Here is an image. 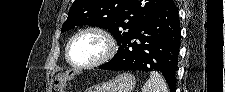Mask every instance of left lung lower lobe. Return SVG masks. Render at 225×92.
<instances>
[{"label":"left lung lower lobe","instance_id":"left-lung-lower-lobe-1","mask_svg":"<svg viewBox=\"0 0 225 92\" xmlns=\"http://www.w3.org/2000/svg\"><path fill=\"white\" fill-rule=\"evenodd\" d=\"M180 36L178 9L173 0H166L146 18L132 38L119 47L116 55L99 68L160 71L174 91Z\"/></svg>","mask_w":225,"mask_h":92}]
</instances>
